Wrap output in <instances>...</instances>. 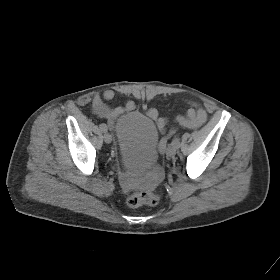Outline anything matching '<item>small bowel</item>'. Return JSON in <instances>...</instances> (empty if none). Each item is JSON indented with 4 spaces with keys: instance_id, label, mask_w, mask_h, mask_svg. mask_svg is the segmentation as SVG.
<instances>
[{
    "instance_id": "obj_1",
    "label": "small bowel",
    "mask_w": 280,
    "mask_h": 280,
    "mask_svg": "<svg viewBox=\"0 0 280 280\" xmlns=\"http://www.w3.org/2000/svg\"><path fill=\"white\" fill-rule=\"evenodd\" d=\"M114 97L115 92L113 90H106L102 94L95 95L91 105L92 112L98 117L106 119L110 125L114 123L118 116L135 108V104L131 100L126 101L123 106L111 107L107 102ZM190 105L191 107L185 114L179 115L175 118V122L185 128L195 129L206 122L207 112L195 102H190ZM147 115L155 120L157 127L165 134L160 142V149L163 150L165 149L167 140L172 133V130H167L168 120L164 117H160L155 108L148 109ZM127 185L130 186L129 183Z\"/></svg>"
}]
</instances>
